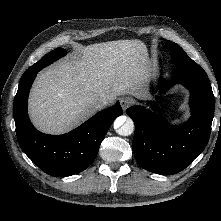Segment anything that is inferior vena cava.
<instances>
[{"mask_svg":"<svg viewBox=\"0 0 221 221\" xmlns=\"http://www.w3.org/2000/svg\"><path fill=\"white\" fill-rule=\"evenodd\" d=\"M113 101L107 97H100L96 100V107L97 108H103L104 106H107L111 104Z\"/></svg>","mask_w":221,"mask_h":221,"instance_id":"1","label":"inferior vena cava"}]
</instances>
